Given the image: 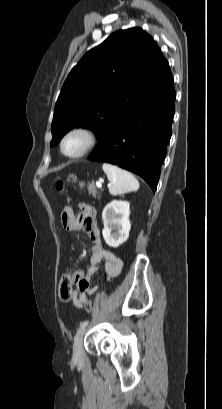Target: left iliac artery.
Wrapping results in <instances>:
<instances>
[{
    "mask_svg": "<svg viewBox=\"0 0 222 409\" xmlns=\"http://www.w3.org/2000/svg\"><path fill=\"white\" fill-rule=\"evenodd\" d=\"M88 323H89V321L86 320V321H84V322H82V323L80 324V327H81V328L86 327V326L88 325Z\"/></svg>",
    "mask_w": 222,
    "mask_h": 409,
    "instance_id": "left-iliac-artery-1",
    "label": "left iliac artery"
}]
</instances>
